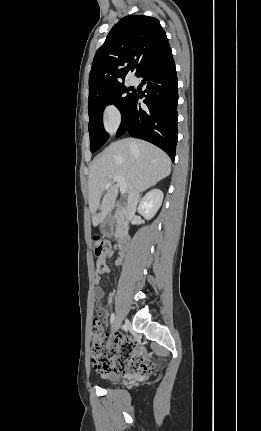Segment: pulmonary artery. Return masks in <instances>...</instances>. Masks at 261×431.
Returning a JSON list of instances; mask_svg holds the SVG:
<instances>
[{
	"instance_id": "e3ab8cb5",
	"label": "pulmonary artery",
	"mask_w": 261,
	"mask_h": 431,
	"mask_svg": "<svg viewBox=\"0 0 261 431\" xmlns=\"http://www.w3.org/2000/svg\"><path fill=\"white\" fill-rule=\"evenodd\" d=\"M129 83H130V84H134V83H135V80H134V79H130V80H129Z\"/></svg>"
}]
</instances>
